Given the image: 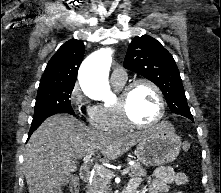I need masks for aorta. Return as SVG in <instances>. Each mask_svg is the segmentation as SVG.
Segmentation results:
<instances>
[{
	"label": "aorta",
	"mask_w": 221,
	"mask_h": 193,
	"mask_svg": "<svg viewBox=\"0 0 221 193\" xmlns=\"http://www.w3.org/2000/svg\"><path fill=\"white\" fill-rule=\"evenodd\" d=\"M110 63L111 56L108 49L92 53L82 63L79 70L80 85L91 98L102 100L110 95L107 79Z\"/></svg>",
	"instance_id": "obj_1"
}]
</instances>
